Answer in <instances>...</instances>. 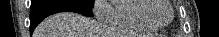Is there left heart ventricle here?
Returning <instances> with one entry per match:
<instances>
[{
    "label": "left heart ventricle",
    "instance_id": "left-heart-ventricle-1",
    "mask_svg": "<svg viewBox=\"0 0 219 37\" xmlns=\"http://www.w3.org/2000/svg\"><path fill=\"white\" fill-rule=\"evenodd\" d=\"M165 0H160L159 6L152 12L151 17L158 22H167L171 17V10Z\"/></svg>",
    "mask_w": 219,
    "mask_h": 37
}]
</instances>
